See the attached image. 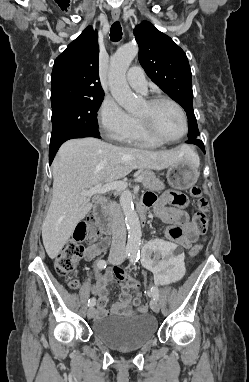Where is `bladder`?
Segmentation results:
<instances>
[{"instance_id":"31cf9c89","label":"bladder","mask_w":249,"mask_h":382,"mask_svg":"<svg viewBox=\"0 0 249 382\" xmlns=\"http://www.w3.org/2000/svg\"><path fill=\"white\" fill-rule=\"evenodd\" d=\"M157 321L149 314L108 316L93 323V334L105 345L120 351L140 349L152 340Z\"/></svg>"}]
</instances>
